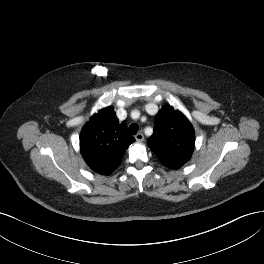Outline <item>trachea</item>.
<instances>
[{"mask_svg":"<svg viewBox=\"0 0 264 264\" xmlns=\"http://www.w3.org/2000/svg\"><path fill=\"white\" fill-rule=\"evenodd\" d=\"M131 135H134L138 132V126L136 124H131L128 129Z\"/></svg>","mask_w":264,"mask_h":264,"instance_id":"3493384b","label":"trachea"}]
</instances>
